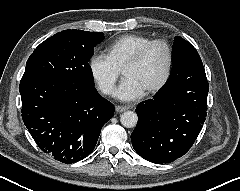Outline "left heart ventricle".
<instances>
[{
  "label": "left heart ventricle",
  "instance_id": "b2bd125f",
  "mask_svg": "<svg viewBox=\"0 0 240 191\" xmlns=\"http://www.w3.org/2000/svg\"><path fill=\"white\" fill-rule=\"evenodd\" d=\"M167 52L163 45H154L144 59L137 65L126 68L124 77H131L143 88L144 92L156 85L164 75Z\"/></svg>",
  "mask_w": 240,
  "mask_h": 191
}]
</instances>
